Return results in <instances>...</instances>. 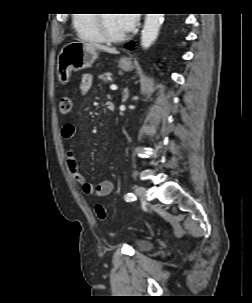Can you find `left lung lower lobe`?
Returning <instances> with one entry per match:
<instances>
[{"label":"left lung lower lobe","mask_w":252,"mask_h":303,"mask_svg":"<svg viewBox=\"0 0 252 303\" xmlns=\"http://www.w3.org/2000/svg\"><path fill=\"white\" fill-rule=\"evenodd\" d=\"M133 45H134V42H130V43H128V44H126L125 45V47L127 48V49H132V47H133Z\"/></svg>","instance_id":"obj_1"}]
</instances>
